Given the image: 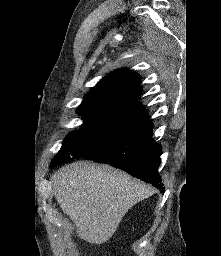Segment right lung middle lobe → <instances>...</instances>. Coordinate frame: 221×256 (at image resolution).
I'll use <instances>...</instances> for the list:
<instances>
[{
    "label": "right lung middle lobe",
    "mask_w": 221,
    "mask_h": 256,
    "mask_svg": "<svg viewBox=\"0 0 221 256\" xmlns=\"http://www.w3.org/2000/svg\"><path fill=\"white\" fill-rule=\"evenodd\" d=\"M77 113L82 116L84 125L66 137L50 167L83 157L109 140L147 122L145 116L134 117L115 109L81 110Z\"/></svg>",
    "instance_id": "obj_1"
}]
</instances>
